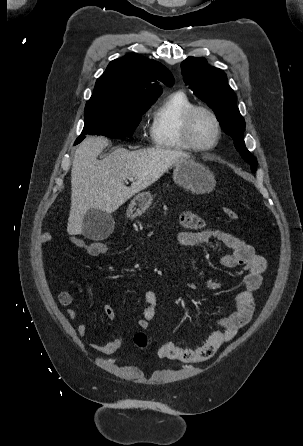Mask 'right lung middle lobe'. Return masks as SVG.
Instances as JSON below:
<instances>
[{"label": "right lung middle lobe", "mask_w": 303, "mask_h": 446, "mask_svg": "<svg viewBox=\"0 0 303 446\" xmlns=\"http://www.w3.org/2000/svg\"><path fill=\"white\" fill-rule=\"evenodd\" d=\"M150 106L121 107L94 106L85 107V124L75 145L81 142L85 135H106L111 138H125L132 136L141 121V115Z\"/></svg>", "instance_id": "obj_1"}]
</instances>
